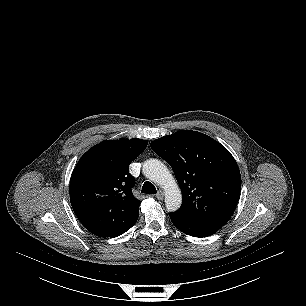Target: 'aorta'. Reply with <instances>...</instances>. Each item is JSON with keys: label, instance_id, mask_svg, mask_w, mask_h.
Listing matches in <instances>:
<instances>
[{"label": "aorta", "instance_id": "762f6f07", "mask_svg": "<svg viewBox=\"0 0 306 306\" xmlns=\"http://www.w3.org/2000/svg\"><path fill=\"white\" fill-rule=\"evenodd\" d=\"M143 174L158 184L165 192V205L168 211H177L182 204L180 188L168 168L158 159H149L143 163Z\"/></svg>", "mask_w": 306, "mask_h": 306}]
</instances>
